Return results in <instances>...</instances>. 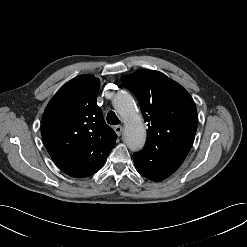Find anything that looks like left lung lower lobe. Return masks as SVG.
<instances>
[{"instance_id":"left-lung-lower-lobe-1","label":"left lung lower lobe","mask_w":247,"mask_h":247,"mask_svg":"<svg viewBox=\"0 0 247 247\" xmlns=\"http://www.w3.org/2000/svg\"><path fill=\"white\" fill-rule=\"evenodd\" d=\"M133 158L137 171L142 176L156 182L169 177L184 161V159L160 157L154 154L138 156V154L134 153Z\"/></svg>"}]
</instances>
